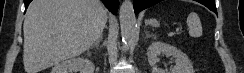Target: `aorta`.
I'll return each instance as SVG.
<instances>
[{"mask_svg": "<svg viewBox=\"0 0 244 73\" xmlns=\"http://www.w3.org/2000/svg\"><path fill=\"white\" fill-rule=\"evenodd\" d=\"M122 41L128 47L133 41L136 33V18L133 4L130 0H125L120 6L119 13Z\"/></svg>", "mask_w": 244, "mask_h": 73, "instance_id": "obj_1", "label": "aorta"}]
</instances>
